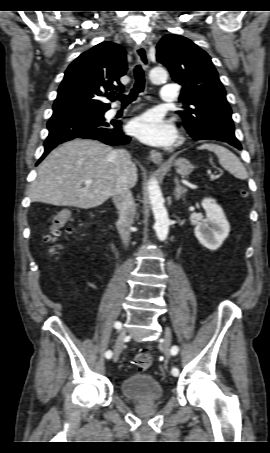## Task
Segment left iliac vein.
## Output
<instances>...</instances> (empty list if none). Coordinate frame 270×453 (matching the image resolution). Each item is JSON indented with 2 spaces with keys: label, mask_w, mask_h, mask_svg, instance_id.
Here are the masks:
<instances>
[{
  "label": "left iliac vein",
  "mask_w": 270,
  "mask_h": 453,
  "mask_svg": "<svg viewBox=\"0 0 270 453\" xmlns=\"http://www.w3.org/2000/svg\"><path fill=\"white\" fill-rule=\"evenodd\" d=\"M171 343H172V333L169 327H166L164 340H163V349L167 358L170 357L171 353Z\"/></svg>",
  "instance_id": "obj_1"
}]
</instances>
